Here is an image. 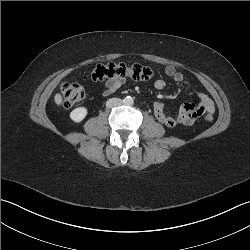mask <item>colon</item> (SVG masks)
<instances>
[{
  "mask_svg": "<svg viewBox=\"0 0 250 250\" xmlns=\"http://www.w3.org/2000/svg\"><path fill=\"white\" fill-rule=\"evenodd\" d=\"M153 77V70L149 67L134 64L126 65L123 63H109L106 65H98L91 73V78L95 81H103L108 79H126L130 78L137 81H148ZM60 93L62 103L65 107H73L79 104L86 95L85 89L78 83L65 82L61 85ZM207 122L213 120L212 113H205Z\"/></svg>",
  "mask_w": 250,
  "mask_h": 250,
  "instance_id": "obj_1",
  "label": "colon"
}]
</instances>
